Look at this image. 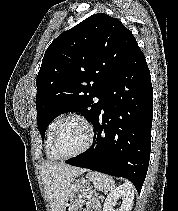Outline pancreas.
<instances>
[{"mask_svg": "<svg viewBox=\"0 0 178 211\" xmlns=\"http://www.w3.org/2000/svg\"><path fill=\"white\" fill-rule=\"evenodd\" d=\"M87 204L89 206H91L92 208H94L95 211L97 210L98 207H100V202H99L98 198H96V197L88 199Z\"/></svg>", "mask_w": 178, "mask_h": 211, "instance_id": "1", "label": "pancreas"}]
</instances>
